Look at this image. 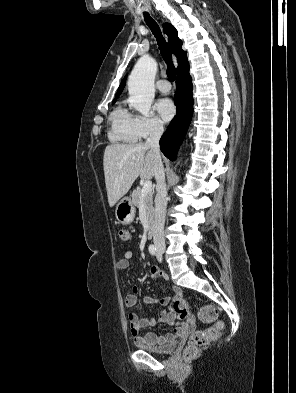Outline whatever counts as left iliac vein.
<instances>
[{"mask_svg":"<svg viewBox=\"0 0 296 393\" xmlns=\"http://www.w3.org/2000/svg\"><path fill=\"white\" fill-rule=\"evenodd\" d=\"M157 260H158L159 262L162 261V255H161L160 253H157Z\"/></svg>","mask_w":296,"mask_h":393,"instance_id":"left-iliac-vein-1","label":"left iliac vein"}]
</instances>
